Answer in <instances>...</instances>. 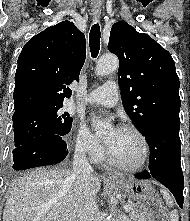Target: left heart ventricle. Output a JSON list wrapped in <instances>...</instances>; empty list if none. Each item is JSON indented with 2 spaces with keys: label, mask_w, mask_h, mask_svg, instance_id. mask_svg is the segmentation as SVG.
<instances>
[{
  "label": "left heart ventricle",
  "mask_w": 190,
  "mask_h": 221,
  "mask_svg": "<svg viewBox=\"0 0 190 221\" xmlns=\"http://www.w3.org/2000/svg\"><path fill=\"white\" fill-rule=\"evenodd\" d=\"M103 139L120 162L133 166L141 161L143 145L135 133L121 129H110Z\"/></svg>",
  "instance_id": "b2bd125f"
}]
</instances>
